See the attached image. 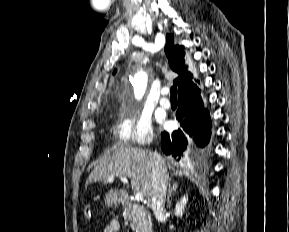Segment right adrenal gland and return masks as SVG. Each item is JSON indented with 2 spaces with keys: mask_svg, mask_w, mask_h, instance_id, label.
<instances>
[{
  "mask_svg": "<svg viewBox=\"0 0 289 232\" xmlns=\"http://www.w3.org/2000/svg\"><path fill=\"white\" fill-rule=\"evenodd\" d=\"M177 187H178V185L176 183L173 185H171V183H169L167 203H170V197H171L172 193H174L176 191Z\"/></svg>",
  "mask_w": 289,
  "mask_h": 232,
  "instance_id": "obj_1",
  "label": "right adrenal gland"
}]
</instances>
